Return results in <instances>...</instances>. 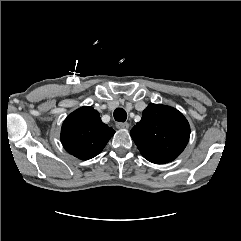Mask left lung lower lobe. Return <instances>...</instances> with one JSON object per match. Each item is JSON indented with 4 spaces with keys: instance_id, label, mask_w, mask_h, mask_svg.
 Returning a JSON list of instances; mask_svg holds the SVG:
<instances>
[{
    "instance_id": "left-lung-lower-lobe-1",
    "label": "left lung lower lobe",
    "mask_w": 241,
    "mask_h": 241,
    "mask_svg": "<svg viewBox=\"0 0 241 241\" xmlns=\"http://www.w3.org/2000/svg\"><path fill=\"white\" fill-rule=\"evenodd\" d=\"M146 159L155 164H165L172 161L170 159H164V158H146Z\"/></svg>"
}]
</instances>
